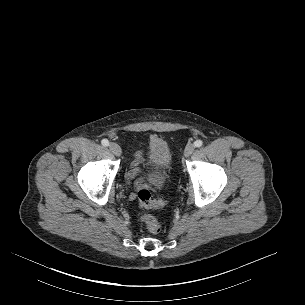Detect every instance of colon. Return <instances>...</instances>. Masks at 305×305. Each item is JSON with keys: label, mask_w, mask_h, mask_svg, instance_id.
Segmentation results:
<instances>
[{"label": "colon", "mask_w": 305, "mask_h": 305, "mask_svg": "<svg viewBox=\"0 0 305 305\" xmlns=\"http://www.w3.org/2000/svg\"><path fill=\"white\" fill-rule=\"evenodd\" d=\"M138 200L139 206L142 209L159 208L165 203L163 200L153 199L150 190L147 188H141L138 191ZM141 219L145 223L146 229L149 233L157 234L160 232L161 223L155 216L143 214Z\"/></svg>", "instance_id": "colon-1"}]
</instances>
